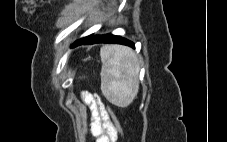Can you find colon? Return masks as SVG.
I'll return each mask as SVG.
<instances>
[{
	"mask_svg": "<svg viewBox=\"0 0 227 142\" xmlns=\"http://www.w3.org/2000/svg\"><path fill=\"white\" fill-rule=\"evenodd\" d=\"M109 116L111 118L112 124H113V135L115 136L116 140L118 139V136L121 135V127L120 124L114 114V112L110 109H108Z\"/></svg>",
	"mask_w": 227,
	"mask_h": 142,
	"instance_id": "colon-1",
	"label": "colon"
}]
</instances>
